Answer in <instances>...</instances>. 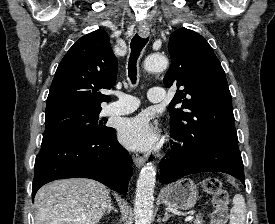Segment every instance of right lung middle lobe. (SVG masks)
Wrapping results in <instances>:
<instances>
[{
    "instance_id": "dd1d6c3e",
    "label": "right lung middle lobe",
    "mask_w": 275,
    "mask_h": 224,
    "mask_svg": "<svg viewBox=\"0 0 275 224\" xmlns=\"http://www.w3.org/2000/svg\"><path fill=\"white\" fill-rule=\"evenodd\" d=\"M101 108L64 107L46 113L43 137L60 135L82 138L99 137L110 127L99 119Z\"/></svg>"
}]
</instances>
